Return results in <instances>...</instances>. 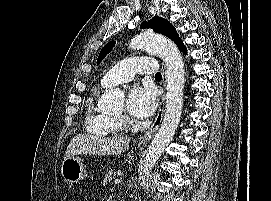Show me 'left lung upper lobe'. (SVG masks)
Wrapping results in <instances>:
<instances>
[{
  "mask_svg": "<svg viewBox=\"0 0 271 201\" xmlns=\"http://www.w3.org/2000/svg\"><path fill=\"white\" fill-rule=\"evenodd\" d=\"M146 27L152 28L153 31L156 33H160L167 36L168 38H170L172 41L176 43L179 49L182 47V45H184L181 39L179 38L173 25L164 18L155 16L151 19L149 23L143 22L141 25V28L144 29ZM114 46H115V41H110L101 49V52L97 60V64H99L102 61V59L112 50Z\"/></svg>",
  "mask_w": 271,
  "mask_h": 201,
  "instance_id": "1",
  "label": "left lung upper lobe"
}]
</instances>
